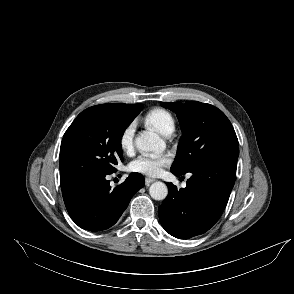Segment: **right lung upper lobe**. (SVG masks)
Listing matches in <instances>:
<instances>
[{"instance_id":"obj_1","label":"right lung upper lobe","mask_w":294,"mask_h":294,"mask_svg":"<svg viewBox=\"0 0 294 294\" xmlns=\"http://www.w3.org/2000/svg\"><path fill=\"white\" fill-rule=\"evenodd\" d=\"M119 105L124 106V107H131V106H134L136 104H119Z\"/></svg>"}]
</instances>
